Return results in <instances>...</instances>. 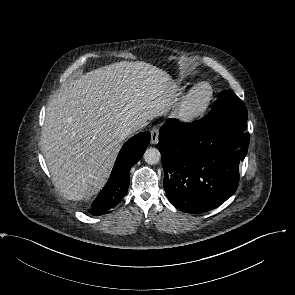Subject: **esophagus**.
<instances>
[{"label":"esophagus","mask_w":295,"mask_h":295,"mask_svg":"<svg viewBox=\"0 0 295 295\" xmlns=\"http://www.w3.org/2000/svg\"><path fill=\"white\" fill-rule=\"evenodd\" d=\"M158 138H159V129L158 128H154L151 131V144H157L158 143Z\"/></svg>","instance_id":"1"}]
</instances>
